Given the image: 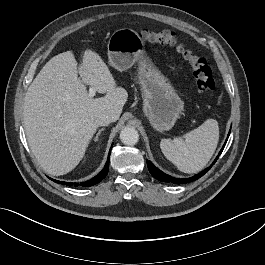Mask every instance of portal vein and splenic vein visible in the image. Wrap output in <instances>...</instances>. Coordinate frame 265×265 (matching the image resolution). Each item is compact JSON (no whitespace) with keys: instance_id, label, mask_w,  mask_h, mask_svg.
<instances>
[{"instance_id":"obj_1","label":"portal vein and splenic vein","mask_w":265,"mask_h":265,"mask_svg":"<svg viewBox=\"0 0 265 265\" xmlns=\"http://www.w3.org/2000/svg\"><path fill=\"white\" fill-rule=\"evenodd\" d=\"M95 93H96V89L93 87V86H90L89 88V92H88V96L90 98L94 97L95 96Z\"/></svg>"}]
</instances>
